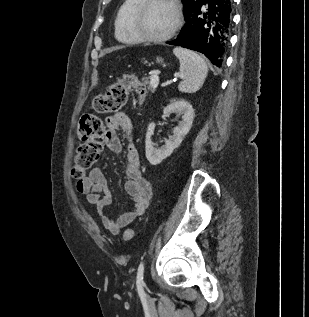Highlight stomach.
Listing matches in <instances>:
<instances>
[{
    "label": "stomach",
    "mask_w": 309,
    "mask_h": 317,
    "mask_svg": "<svg viewBox=\"0 0 309 317\" xmlns=\"http://www.w3.org/2000/svg\"><path fill=\"white\" fill-rule=\"evenodd\" d=\"M156 62H157V63H161V62H163V59L160 58V57H157V58H156Z\"/></svg>",
    "instance_id": "1"
}]
</instances>
